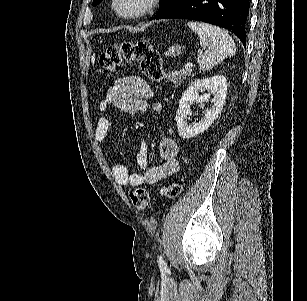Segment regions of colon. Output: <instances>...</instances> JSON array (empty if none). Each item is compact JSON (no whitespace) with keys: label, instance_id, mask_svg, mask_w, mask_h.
Here are the masks:
<instances>
[{"label":"colon","instance_id":"5ec220e1","mask_svg":"<svg viewBox=\"0 0 307 301\" xmlns=\"http://www.w3.org/2000/svg\"><path fill=\"white\" fill-rule=\"evenodd\" d=\"M137 61L146 77L153 82L163 78L161 58L157 50L147 40L123 41L110 45L99 57L98 71L106 74L123 62ZM162 196L175 198L182 192V185L174 182L159 189ZM130 200L135 208L144 210L150 203V192L146 188L137 187L130 192Z\"/></svg>","mask_w":307,"mask_h":301}]
</instances>
